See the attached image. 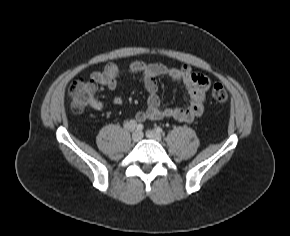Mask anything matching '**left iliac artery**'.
Listing matches in <instances>:
<instances>
[{
    "mask_svg": "<svg viewBox=\"0 0 290 236\" xmlns=\"http://www.w3.org/2000/svg\"><path fill=\"white\" fill-rule=\"evenodd\" d=\"M156 132H158V133H162V132H163V129H162L161 127H157V128H156Z\"/></svg>",
    "mask_w": 290,
    "mask_h": 236,
    "instance_id": "44dca946",
    "label": "left iliac artery"
}]
</instances>
